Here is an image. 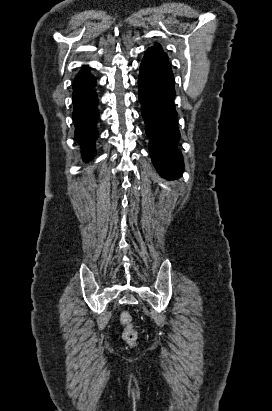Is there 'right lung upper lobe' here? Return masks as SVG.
Returning <instances> with one entry per match:
<instances>
[{
  "label": "right lung upper lobe",
  "mask_w": 272,
  "mask_h": 411,
  "mask_svg": "<svg viewBox=\"0 0 272 411\" xmlns=\"http://www.w3.org/2000/svg\"><path fill=\"white\" fill-rule=\"evenodd\" d=\"M93 78L91 74L88 72V67L83 66L81 71L78 73V75L74 79L73 83V88L82 86L86 82L90 81Z\"/></svg>",
  "instance_id": "cb5924a9"
}]
</instances>
